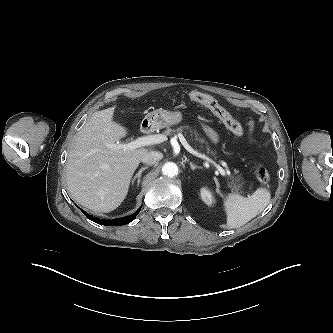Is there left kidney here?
Masks as SVG:
<instances>
[{
	"instance_id": "left-kidney-1",
	"label": "left kidney",
	"mask_w": 333,
	"mask_h": 333,
	"mask_svg": "<svg viewBox=\"0 0 333 333\" xmlns=\"http://www.w3.org/2000/svg\"><path fill=\"white\" fill-rule=\"evenodd\" d=\"M200 194H201V198L205 204H207L209 206L213 204V201H214L213 196L207 188H205V187L201 188Z\"/></svg>"
}]
</instances>
